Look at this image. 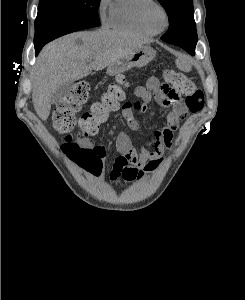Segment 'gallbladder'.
Masks as SVG:
<instances>
[{
	"label": "gallbladder",
	"mask_w": 245,
	"mask_h": 300,
	"mask_svg": "<svg viewBox=\"0 0 245 300\" xmlns=\"http://www.w3.org/2000/svg\"><path fill=\"white\" fill-rule=\"evenodd\" d=\"M73 89H74L73 82H68L58 87L52 95V103L59 104L64 99L70 97L72 95Z\"/></svg>",
	"instance_id": "1"
}]
</instances>
